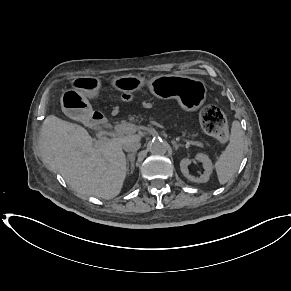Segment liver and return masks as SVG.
I'll use <instances>...</instances> for the list:
<instances>
[{"mask_svg": "<svg viewBox=\"0 0 291 291\" xmlns=\"http://www.w3.org/2000/svg\"><path fill=\"white\" fill-rule=\"evenodd\" d=\"M136 134L94 141L85 128L53 115L41 128L38 149L78 193L103 199L119 195L126 178L123 144Z\"/></svg>", "mask_w": 291, "mask_h": 291, "instance_id": "6515ba94", "label": "liver"}]
</instances>
